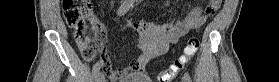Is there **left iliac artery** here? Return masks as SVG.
Returning a JSON list of instances; mask_svg holds the SVG:
<instances>
[{
  "mask_svg": "<svg viewBox=\"0 0 279 82\" xmlns=\"http://www.w3.org/2000/svg\"><path fill=\"white\" fill-rule=\"evenodd\" d=\"M183 81L184 82H192L190 75L188 72H185L184 76H183Z\"/></svg>",
  "mask_w": 279,
  "mask_h": 82,
  "instance_id": "1",
  "label": "left iliac artery"
}]
</instances>
